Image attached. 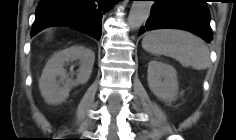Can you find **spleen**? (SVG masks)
<instances>
[{"label": "spleen", "instance_id": "1", "mask_svg": "<svg viewBox=\"0 0 236 140\" xmlns=\"http://www.w3.org/2000/svg\"><path fill=\"white\" fill-rule=\"evenodd\" d=\"M142 47L153 55L174 58L184 67L201 70L210 66V51L204 41L186 31H151L143 38Z\"/></svg>", "mask_w": 236, "mask_h": 140}]
</instances>
